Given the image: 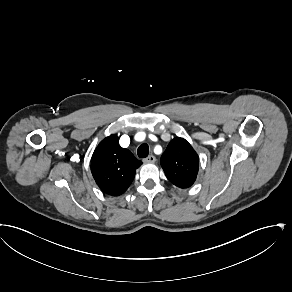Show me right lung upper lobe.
I'll return each mask as SVG.
<instances>
[{
	"label": "right lung upper lobe",
	"instance_id": "obj_1",
	"mask_svg": "<svg viewBox=\"0 0 292 292\" xmlns=\"http://www.w3.org/2000/svg\"><path fill=\"white\" fill-rule=\"evenodd\" d=\"M142 162L119 145L117 135L104 138L91 159V172L96 184L106 194L119 196L132 183Z\"/></svg>",
	"mask_w": 292,
	"mask_h": 292
}]
</instances>
